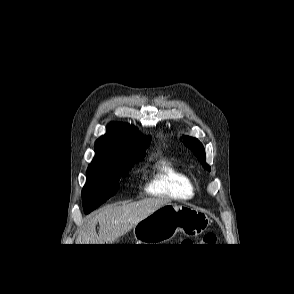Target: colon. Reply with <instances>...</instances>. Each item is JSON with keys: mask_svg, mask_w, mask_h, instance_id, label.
Returning <instances> with one entry per match:
<instances>
[{"mask_svg": "<svg viewBox=\"0 0 294 294\" xmlns=\"http://www.w3.org/2000/svg\"><path fill=\"white\" fill-rule=\"evenodd\" d=\"M204 244H212L216 241V236L213 233H206L202 239Z\"/></svg>", "mask_w": 294, "mask_h": 294, "instance_id": "1", "label": "colon"}]
</instances>
